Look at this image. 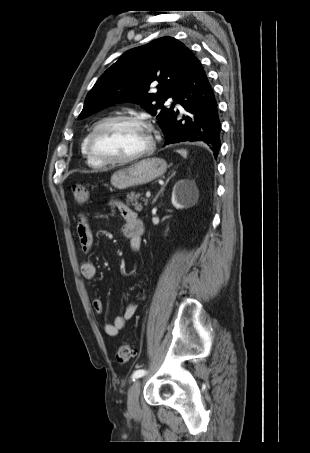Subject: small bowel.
Returning a JSON list of instances; mask_svg holds the SVG:
<instances>
[{
    "mask_svg": "<svg viewBox=\"0 0 310 453\" xmlns=\"http://www.w3.org/2000/svg\"><path fill=\"white\" fill-rule=\"evenodd\" d=\"M116 206L124 218L123 234L129 239L130 247L133 252L138 253L141 247V237L143 234V223L137 213L121 202H116ZM77 236L83 253L88 254L93 248V234L90 223L85 215H80L77 223ZM80 270L84 278L95 280L97 278V270L95 265L88 260H85L80 265ZM93 309L96 313L103 312V302L96 298L92 302ZM137 309L135 301L129 302L122 315L116 316L112 323H107L104 326V331L108 336H116L122 330L127 321L133 318Z\"/></svg>",
    "mask_w": 310,
    "mask_h": 453,
    "instance_id": "small-bowel-1",
    "label": "small bowel"
}]
</instances>
